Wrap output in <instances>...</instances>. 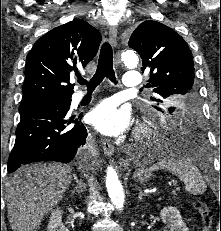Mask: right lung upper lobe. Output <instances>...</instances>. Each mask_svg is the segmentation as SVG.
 I'll return each mask as SVG.
<instances>
[{
  "instance_id": "1",
  "label": "right lung upper lobe",
  "mask_w": 221,
  "mask_h": 231,
  "mask_svg": "<svg viewBox=\"0 0 221 231\" xmlns=\"http://www.w3.org/2000/svg\"><path fill=\"white\" fill-rule=\"evenodd\" d=\"M101 39L97 29L80 19L39 38L26 58L23 100L71 98L70 76L95 57Z\"/></svg>"
}]
</instances>
